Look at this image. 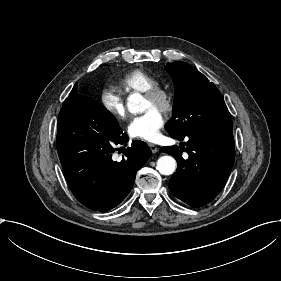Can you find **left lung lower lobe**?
Listing matches in <instances>:
<instances>
[{
	"label": "left lung lower lobe",
	"mask_w": 281,
	"mask_h": 281,
	"mask_svg": "<svg viewBox=\"0 0 281 281\" xmlns=\"http://www.w3.org/2000/svg\"><path fill=\"white\" fill-rule=\"evenodd\" d=\"M187 146L163 147L178 163L171 176L169 188L173 195L188 205L198 208L212 201L222 190L234 164L235 149L233 127L212 128L174 137ZM189 158L184 160L181 152Z\"/></svg>",
	"instance_id": "0a47b994"
}]
</instances>
